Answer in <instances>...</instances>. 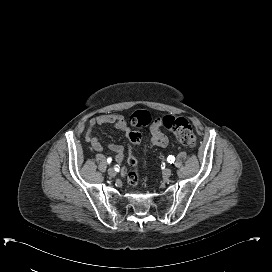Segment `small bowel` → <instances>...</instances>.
I'll list each match as a JSON object with an SVG mask.
<instances>
[{"label":"small bowel","mask_w":272,"mask_h":272,"mask_svg":"<svg viewBox=\"0 0 272 272\" xmlns=\"http://www.w3.org/2000/svg\"><path fill=\"white\" fill-rule=\"evenodd\" d=\"M102 125H112L117 130L125 133L126 135L130 134V129L127 125V120L124 116L116 113H108L98 115L90 120L88 128L85 132V140L91 145L92 149L95 151H103L104 147L101 141L95 137L92 133V130L96 126ZM162 124L160 119H156L150 125V142L153 145L160 146L162 148H166L169 145V138L162 132L161 130ZM107 148L112 151L115 155L116 162H121L124 157V148L121 145L115 143H108ZM131 153L134 154L136 152L135 149H130ZM137 163V160H136ZM122 174L127 173V168L123 167L121 169Z\"/></svg>","instance_id":"1"}]
</instances>
